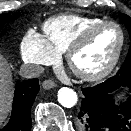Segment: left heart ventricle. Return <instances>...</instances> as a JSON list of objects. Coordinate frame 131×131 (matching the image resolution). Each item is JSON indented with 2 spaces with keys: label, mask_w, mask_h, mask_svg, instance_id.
<instances>
[{
  "label": "left heart ventricle",
  "mask_w": 131,
  "mask_h": 131,
  "mask_svg": "<svg viewBox=\"0 0 131 131\" xmlns=\"http://www.w3.org/2000/svg\"><path fill=\"white\" fill-rule=\"evenodd\" d=\"M120 43V32L112 25L99 29L74 56V66L83 72L104 68L113 58Z\"/></svg>",
  "instance_id": "1"
}]
</instances>
